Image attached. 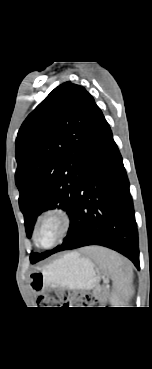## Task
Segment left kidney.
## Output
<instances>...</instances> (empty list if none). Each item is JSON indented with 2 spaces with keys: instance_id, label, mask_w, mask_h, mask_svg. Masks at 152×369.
<instances>
[{
  "instance_id": "left-kidney-1",
  "label": "left kidney",
  "mask_w": 152,
  "mask_h": 369,
  "mask_svg": "<svg viewBox=\"0 0 152 369\" xmlns=\"http://www.w3.org/2000/svg\"><path fill=\"white\" fill-rule=\"evenodd\" d=\"M118 300H119V297H118V296H116V295H114V296H112V297L110 298L111 304H113V306H114V307H117V304H119V303H118Z\"/></svg>"
}]
</instances>
